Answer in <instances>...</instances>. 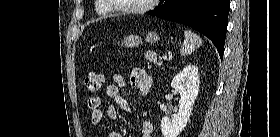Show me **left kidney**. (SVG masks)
Instances as JSON below:
<instances>
[{"label":"left kidney","mask_w":280,"mask_h":137,"mask_svg":"<svg viewBox=\"0 0 280 137\" xmlns=\"http://www.w3.org/2000/svg\"><path fill=\"white\" fill-rule=\"evenodd\" d=\"M199 74L195 65H187L177 73L171 82L173 89L180 93L178 112L161 120V131L164 137H178L184 130L193 109L199 91Z\"/></svg>","instance_id":"1"}]
</instances>
